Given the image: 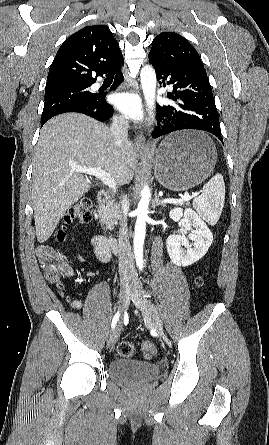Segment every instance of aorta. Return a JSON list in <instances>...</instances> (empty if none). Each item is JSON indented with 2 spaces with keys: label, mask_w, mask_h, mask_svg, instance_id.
<instances>
[{
  "label": "aorta",
  "mask_w": 269,
  "mask_h": 445,
  "mask_svg": "<svg viewBox=\"0 0 269 445\" xmlns=\"http://www.w3.org/2000/svg\"><path fill=\"white\" fill-rule=\"evenodd\" d=\"M140 81L149 113L153 118L157 79L155 70L150 65H145L142 67L140 72ZM150 197V189L147 185H145L141 191V199L137 207L138 215L133 240L135 259L139 270L143 268V245L145 240L146 219L148 217Z\"/></svg>",
  "instance_id": "1"
}]
</instances>
